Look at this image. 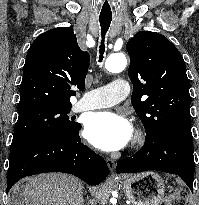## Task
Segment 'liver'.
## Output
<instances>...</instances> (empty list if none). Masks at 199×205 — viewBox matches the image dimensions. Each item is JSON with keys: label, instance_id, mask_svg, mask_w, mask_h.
Instances as JSON below:
<instances>
[{"label": "liver", "instance_id": "1", "mask_svg": "<svg viewBox=\"0 0 199 205\" xmlns=\"http://www.w3.org/2000/svg\"><path fill=\"white\" fill-rule=\"evenodd\" d=\"M83 185L67 174L49 173L27 178L22 197L14 205H84Z\"/></svg>", "mask_w": 199, "mask_h": 205}]
</instances>
